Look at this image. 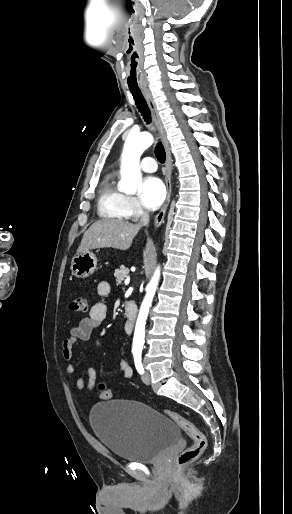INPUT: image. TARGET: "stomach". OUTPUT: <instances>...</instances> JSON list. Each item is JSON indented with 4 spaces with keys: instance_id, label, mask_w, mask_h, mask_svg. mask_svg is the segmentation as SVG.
Returning <instances> with one entry per match:
<instances>
[{
    "instance_id": "obj_1",
    "label": "stomach",
    "mask_w": 292,
    "mask_h": 514,
    "mask_svg": "<svg viewBox=\"0 0 292 514\" xmlns=\"http://www.w3.org/2000/svg\"><path fill=\"white\" fill-rule=\"evenodd\" d=\"M97 268V258L93 252H81L72 258L70 270L76 278H88Z\"/></svg>"
}]
</instances>
